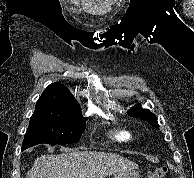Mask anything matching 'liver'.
<instances>
[{
	"instance_id": "liver-1",
	"label": "liver",
	"mask_w": 194,
	"mask_h": 178,
	"mask_svg": "<svg viewBox=\"0 0 194 178\" xmlns=\"http://www.w3.org/2000/svg\"><path fill=\"white\" fill-rule=\"evenodd\" d=\"M138 166L115 153L71 151L38 157L27 178H105Z\"/></svg>"
}]
</instances>
